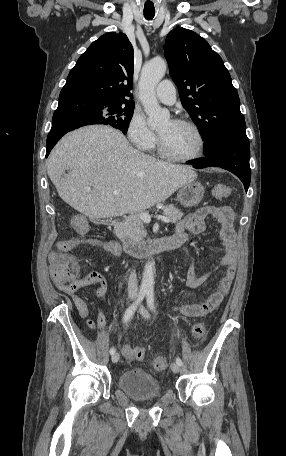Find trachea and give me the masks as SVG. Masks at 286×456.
<instances>
[{
  "mask_svg": "<svg viewBox=\"0 0 286 456\" xmlns=\"http://www.w3.org/2000/svg\"><path fill=\"white\" fill-rule=\"evenodd\" d=\"M154 15L155 13H147V12H144V17L147 19V20H152L154 18Z\"/></svg>",
  "mask_w": 286,
  "mask_h": 456,
  "instance_id": "trachea-1",
  "label": "trachea"
}]
</instances>
